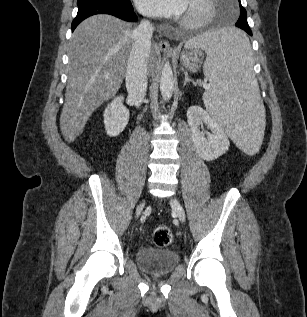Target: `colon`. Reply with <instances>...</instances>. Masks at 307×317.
Masks as SVG:
<instances>
[{
  "instance_id": "1",
  "label": "colon",
  "mask_w": 307,
  "mask_h": 317,
  "mask_svg": "<svg viewBox=\"0 0 307 317\" xmlns=\"http://www.w3.org/2000/svg\"><path fill=\"white\" fill-rule=\"evenodd\" d=\"M152 240L156 247H168L173 240V234L171 229L166 225L157 226L153 231Z\"/></svg>"
}]
</instances>
